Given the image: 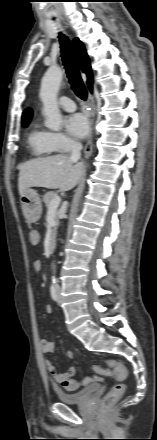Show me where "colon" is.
Listing matches in <instances>:
<instances>
[{"label": "colon", "instance_id": "5ec220e1", "mask_svg": "<svg viewBox=\"0 0 157 440\" xmlns=\"http://www.w3.org/2000/svg\"><path fill=\"white\" fill-rule=\"evenodd\" d=\"M29 241L33 246H37L40 243V234L37 230H30ZM34 265L39 267L41 266V262L35 261ZM94 371L98 376H87L80 381L70 378L64 381L63 386L67 390L73 391L77 390L81 386L91 383L94 380L102 379L113 374L117 380V383L108 391L101 401V406L103 408H108L115 404L125 392V381L128 376L127 370L120 362L115 360H107L105 362L97 363L94 366Z\"/></svg>", "mask_w": 157, "mask_h": 440}]
</instances>
